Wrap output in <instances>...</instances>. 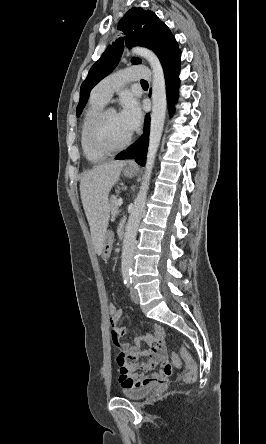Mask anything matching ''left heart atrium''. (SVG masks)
<instances>
[{
    "mask_svg": "<svg viewBox=\"0 0 266 444\" xmlns=\"http://www.w3.org/2000/svg\"><path fill=\"white\" fill-rule=\"evenodd\" d=\"M119 115L130 132L137 129L141 122L140 109L137 103L133 100L125 101L123 109Z\"/></svg>",
    "mask_w": 266,
    "mask_h": 444,
    "instance_id": "1",
    "label": "left heart atrium"
}]
</instances>
